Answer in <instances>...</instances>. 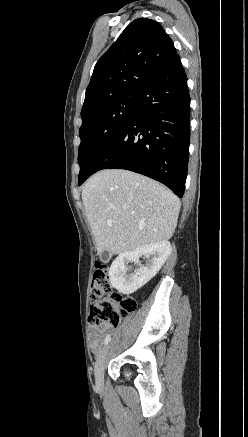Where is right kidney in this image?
I'll return each instance as SVG.
<instances>
[{
    "label": "right kidney",
    "instance_id": "right-kidney-1",
    "mask_svg": "<svg viewBox=\"0 0 248 437\" xmlns=\"http://www.w3.org/2000/svg\"><path fill=\"white\" fill-rule=\"evenodd\" d=\"M171 251L170 242L164 240L121 253L109 269V279L112 286L122 294L134 293L158 273ZM142 256L149 258L146 265H140L133 273L127 275L126 263H138Z\"/></svg>",
    "mask_w": 248,
    "mask_h": 437
}]
</instances>
